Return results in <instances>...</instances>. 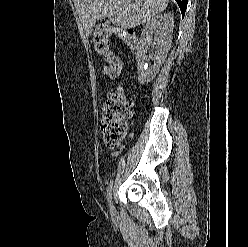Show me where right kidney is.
Here are the masks:
<instances>
[{
	"mask_svg": "<svg viewBox=\"0 0 248 247\" xmlns=\"http://www.w3.org/2000/svg\"><path fill=\"white\" fill-rule=\"evenodd\" d=\"M173 27L174 17L172 13L159 14L147 21L136 47L138 80L141 84H147L153 80L164 63L172 43ZM153 34L158 48L152 58L154 64L148 67V64L145 63L148 60L146 50L153 43Z\"/></svg>",
	"mask_w": 248,
	"mask_h": 247,
	"instance_id": "ca27d5eb",
	"label": "right kidney"
}]
</instances>
